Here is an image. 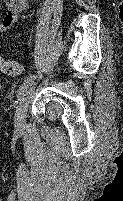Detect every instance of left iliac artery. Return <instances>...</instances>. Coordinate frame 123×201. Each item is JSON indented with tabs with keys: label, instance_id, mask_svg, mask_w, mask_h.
<instances>
[{
	"label": "left iliac artery",
	"instance_id": "obj_1",
	"mask_svg": "<svg viewBox=\"0 0 123 201\" xmlns=\"http://www.w3.org/2000/svg\"><path fill=\"white\" fill-rule=\"evenodd\" d=\"M37 77L35 74H31L27 79L24 80V82L20 85L18 89V95L17 97L21 99L24 92L27 90V88L32 84L33 80Z\"/></svg>",
	"mask_w": 123,
	"mask_h": 201
}]
</instances>
